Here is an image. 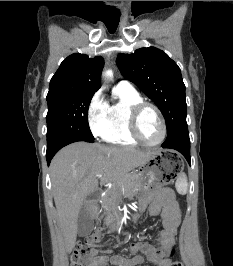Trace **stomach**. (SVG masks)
Returning <instances> with one entry per match:
<instances>
[{
  "instance_id": "obj_1",
  "label": "stomach",
  "mask_w": 233,
  "mask_h": 266,
  "mask_svg": "<svg viewBox=\"0 0 233 266\" xmlns=\"http://www.w3.org/2000/svg\"><path fill=\"white\" fill-rule=\"evenodd\" d=\"M184 166L181 152H174V147H159V151L139 167V176L142 189L148 190L155 183L156 185H175V180Z\"/></svg>"
}]
</instances>
